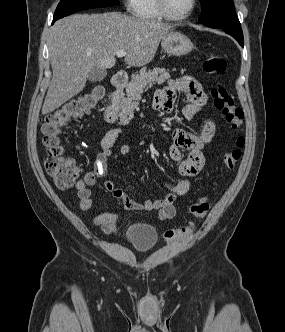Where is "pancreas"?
<instances>
[{"mask_svg": "<svg viewBox=\"0 0 285 332\" xmlns=\"http://www.w3.org/2000/svg\"><path fill=\"white\" fill-rule=\"evenodd\" d=\"M170 78L168 70L164 68H154L153 70L142 68L139 73L132 75V80L126 86V97L123 92L116 93L115 109L123 120H130L134 115L136 101L141 99V95L148 87L154 84H162Z\"/></svg>", "mask_w": 285, "mask_h": 332, "instance_id": "obj_1", "label": "pancreas"}]
</instances>
